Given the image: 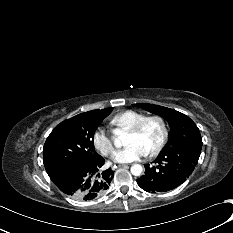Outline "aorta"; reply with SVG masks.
I'll return each instance as SVG.
<instances>
[{
    "mask_svg": "<svg viewBox=\"0 0 233 233\" xmlns=\"http://www.w3.org/2000/svg\"><path fill=\"white\" fill-rule=\"evenodd\" d=\"M121 132L118 131V134H120ZM115 145H120V142L118 140H116L115 142ZM143 171V168L140 164H134L131 166V173L134 175V176H140L141 173Z\"/></svg>",
    "mask_w": 233,
    "mask_h": 233,
    "instance_id": "aorta-1",
    "label": "aorta"
}]
</instances>
